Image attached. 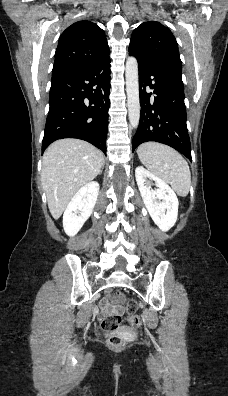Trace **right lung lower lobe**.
Instances as JSON below:
<instances>
[{"instance_id": "1", "label": "right lung lower lobe", "mask_w": 228, "mask_h": 396, "mask_svg": "<svg viewBox=\"0 0 228 396\" xmlns=\"http://www.w3.org/2000/svg\"><path fill=\"white\" fill-rule=\"evenodd\" d=\"M110 58L52 75L42 152L55 140L78 138L106 154Z\"/></svg>"}]
</instances>
